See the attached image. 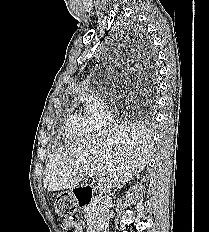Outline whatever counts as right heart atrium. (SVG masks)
Listing matches in <instances>:
<instances>
[{
    "instance_id": "d8ad5b80",
    "label": "right heart atrium",
    "mask_w": 209,
    "mask_h": 232,
    "mask_svg": "<svg viewBox=\"0 0 209 232\" xmlns=\"http://www.w3.org/2000/svg\"><path fill=\"white\" fill-rule=\"evenodd\" d=\"M87 122L91 132L108 127L114 120V114L108 102L100 95H90L86 103Z\"/></svg>"
}]
</instances>
